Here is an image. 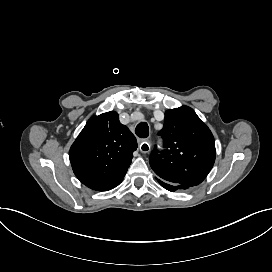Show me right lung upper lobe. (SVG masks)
<instances>
[{
	"mask_svg": "<svg viewBox=\"0 0 272 272\" xmlns=\"http://www.w3.org/2000/svg\"><path fill=\"white\" fill-rule=\"evenodd\" d=\"M137 148L135 136L117 112L93 116L72 144L69 158L76 177L87 187L107 191L118 186Z\"/></svg>",
	"mask_w": 272,
	"mask_h": 272,
	"instance_id": "cb5924a9",
	"label": "right lung upper lobe"
}]
</instances>
